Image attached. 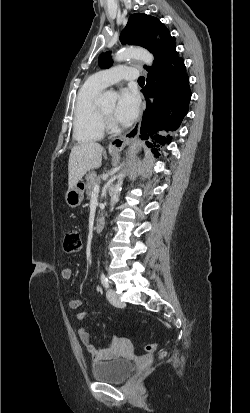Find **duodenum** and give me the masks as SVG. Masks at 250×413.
I'll return each instance as SVG.
<instances>
[{
    "mask_svg": "<svg viewBox=\"0 0 250 413\" xmlns=\"http://www.w3.org/2000/svg\"><path fill=\"white\" fill-rule=\"evenodd\" d=\"M104 225H105V218L104 217H98L95 220V223H94V231L97 232V233L102 231V229L104 228Z\"/></svg>",
    "mask_w": 250,
    "mask_h": 413,
    "instance_id": "410a0bca",
    "label": "duodenum"
}]
</instances>
